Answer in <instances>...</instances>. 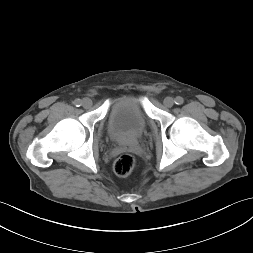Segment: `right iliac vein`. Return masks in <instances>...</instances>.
<instances>
[{"instance_id": "1", "label": "right iliac vein", "mask_w": 253, "mask_h": 253, "mask_svg": "<svg viewBox=\"0 0 253 253\" xmlns=\"http://www.w3.org/2000/svg\"><path fill=\"white\" fill-rule=\"evenodd\" d=\"M82 105L84 108H89L92 106V100L89 98H83Z\"/></svg>"}]
</instances>
